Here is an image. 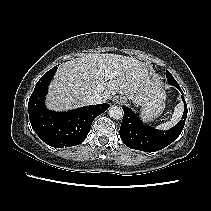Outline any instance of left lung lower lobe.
Returning a JSON list of instances; mask_svg holds the SVG:
<instances>
[{
  "label": "left lung lower lobe",
  "mask_w": 211,
  "mask_h": 211,
  "mask_svg": "<svg viewBox=\"0 0 211 211\" xmlns=\"http://www.w3.org/2000/svg\"><path fill=\"white\" fill-rule=\"evenodd\" d=\"M173 86L183 95L177 82H174ZM182 100L184 102L182 120L167 131H157L145 126L131 109L123 106L124 116L120 127L123 143L129 148L146 152H155L171 144L182 132L187 117V105L183 96Z\"/></svg>",
  "instance_id": "obj_1"
}]
</instances>
